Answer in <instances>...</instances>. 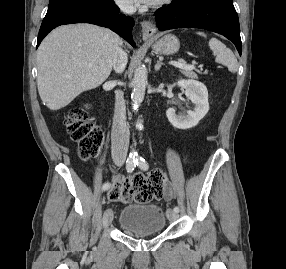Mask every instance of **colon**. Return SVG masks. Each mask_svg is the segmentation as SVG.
<instances>
[{
	"label": "colon",
	"mask_w": 286,
	"mask_h": 269,
	"mask_svg": "<svg viewBox=\"0 0 286 269\" xmlns=\"http://www.w3.org/2000/svg\"><path fill=\"white\" fill-rule=\"evenodd\" d=\"M89 109L90 104L82 102L68 113L64 121L67 133L78 144L80 157L84 160L94 157L103 142L102 130L88 119ZM164 183L165 175L159 171L149 175L135 174L129 179L117 176L107 198L111 202H148L163 195Z\"/></svg>",
	"instance_id": "1"
}]
</instances>
